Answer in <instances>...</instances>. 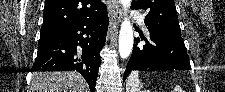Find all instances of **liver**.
<instances>
[{"label": "liver", "mask_w": 225, "mask_h": 92, "mask_svg": "<svg viewBox=\"0 0 225 92\" xmlns=\"http://www.w3.org/2000/svg\"><path fill=\"white\" fill-rule=\"evenodd\" d=\"M30 92H89V88L77 72H35Z\"/></svg>", "instance_id": "obj_1"}]
</instances>
